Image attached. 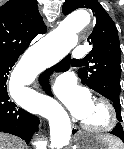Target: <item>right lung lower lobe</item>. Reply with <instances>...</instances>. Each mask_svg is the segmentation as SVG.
<instances>
[{
	"mask_svg": "<svg viewBox=\"0 0 124 149\" xmlns=\"http://www.w3.org/2000/svg\"><path fill=\"white\" fill-rule=\"evenodd\" d=\"M20 55L0 57V132L18 136L28 144L39 119L10 101L6 82Z\"/></svg>",
	"mask_w": 124,
	"mask_h": 149,
	"instance_id": "1",
	"label": "right lung lower lobe"
}]
</instances>
